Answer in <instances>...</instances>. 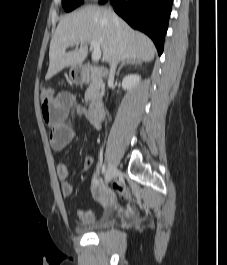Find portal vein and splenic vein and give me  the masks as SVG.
<instances>
[{
	"label": "portal vein and splenic vein",
	"instance_id": "18ae733b",
	"mask_svg": "<svg viewBox=\"0 0 227 265\" xmlns=\"http://www.w3.org/2000/svg\"><path fill=\"white\" fill-rule=\"evenodd\" d=\"M77 44H79V42H77ZM90 47L93 49L92 59L94 61H99L101 59V54H102L99 43L96 41H91Z\"/></svg>",
	"mask_w": 227,
	"mask_h": 265
}]
</instances>
